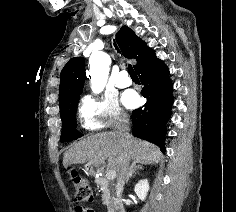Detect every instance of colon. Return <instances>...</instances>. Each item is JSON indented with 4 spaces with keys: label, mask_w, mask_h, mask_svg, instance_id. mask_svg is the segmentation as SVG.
Masks as SVG:
<instances>
[{
    "label": "colon",
    "mask_w": 236,
    "mask_h": 212,
    "mask_svg": "<svg viewBox=\"0 0 236 212\" xmlns=\"http://www.w3.org/2000/svg\"><path fill=\"white\" fill-rule=\"evenodd\" d=\"M71 178L74 184L75 199L84 203L94 202V194L88 181L78 173H72Z\"/></svg>",
    "instance_id": "1"
}]
</instances>
